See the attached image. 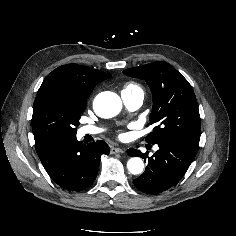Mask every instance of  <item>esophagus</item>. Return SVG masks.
<instances>
[{"label":"esophagus","instance_id":"esophagus-1","mask_svg":"<svg viewBox=\"0 0 236 236\" xmlns=\"http://www.w3.org/2000/svg\"><path fill=\"white\" fill-rule=\"evenodd\" d=\"M125 152V150L124 149H122V148H116V147H112L111 149H110V153L111 154H116V153H124Z\"/></svg>","mask_w":236,"mask_h":236}]
</instances>
